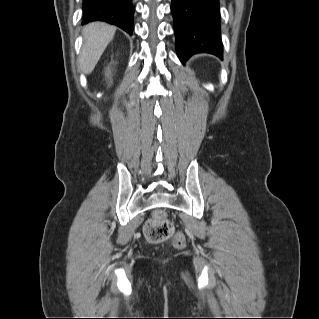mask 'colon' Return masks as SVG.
<instances>
[{"mask_svg": "<svg viewBox=\"0 0 319 319\" xmlns=\"http://www.w3.org/2000/svg\"><path fill=\"white\" fill-rule=\"evenodd\" d=\"M145 234L152 243H163L172 239L175 247L182 248L186 245L185 236L175 233L173 223L163 214L157 213L145 224Z\"/></svg>", "mask_w": 319, "mask_h": 319, "instance_id": "colon-1", "label": "colon"}]
</instances>
